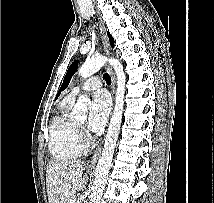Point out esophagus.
<instances>
[{
    "mask_svg": "<svg viewBox=\"0 0 214 203\" xmlns=\"http://www.w3.org/2000/svg\"><path fill=\"white\" fill-rule=\"evenodd\" d=\"M99 27H100V33H101V38H102V43H103L105 54L110 56L111 51H110V48H109V44H108V41H107V36L105 34V28H104V25H103L102 21H99ZM106 69H107V72L109 73V75L111 77V81H112V86H111V88H112V96H113V99H114L115 84H116L115 76L113 74L112 68L109 65H106ZM102 145H103V141H102L101 145L95 150V152L93 153L92 157L90 158V160L88 162V165L90 167H94L95 166V164H96V162L98 160V157H99V155L101 153Z\"/></svg>",
    "mask_w": 214,
    "mask_h": 203,
    "instance_id": "1",
    "label": "esophagus"
}]
</instances>
